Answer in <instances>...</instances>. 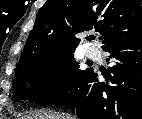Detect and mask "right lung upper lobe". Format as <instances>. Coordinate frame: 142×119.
<instances>
[{"label":"right lung upper lobe","mask_w":142,"mask_h":119,"mask_svg":"<svg viewBox=\"0 0 142 119\" xmlns=\"http://www.w3.org/2000/svg\"><path fill=\"white\" fill-rule=\"evenodd\" d=\"M95 29L104 50L142 36L138 0H47L40 8L17 69L49 54L76 49L77 34ZM16 69V70H17Z\"/></svg>","instance_id":"obj_1"}]
</instances>
